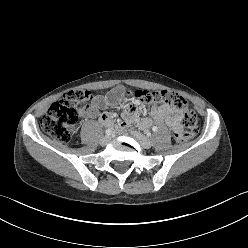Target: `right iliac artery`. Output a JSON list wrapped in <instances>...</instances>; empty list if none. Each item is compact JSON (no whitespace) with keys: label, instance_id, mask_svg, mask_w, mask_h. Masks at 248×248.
I'll list each match as a JSON object with an SVG mask.
<instances>
[{"label":"right iliac artery","instance_id":"obj_1","mask_svg":"<svg viewBox=\"0 0 248 248\" xmlns=\"http://www.w3.org/2000/svg\"><path fill=\"white\" fill-rule=\"evenodd\" d=\"M111 133H112V132H111L110 129H107V130H106V135H107V136L111 135Z\"/></svg>","mask_w":248,"mask_h":248}]
</instances>
